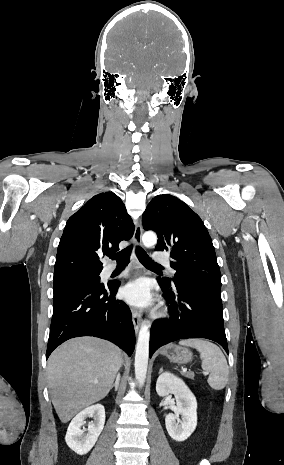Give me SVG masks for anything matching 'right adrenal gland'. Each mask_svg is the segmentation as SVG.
Returning <instances> with one entry per match:
<instances>
[{
    "label": "right adrenal gland",
    "instance_id": "obj_1",
    "mask_svg": "<svg viewBox=\"0 0 284 465\" xmlns=\"http://www.w3.org/2000/svg\"><path fill=\"white\" fill-rule=\"evenodd\" d=\"M120 381H121V375H120V373H118V375L116 377V381H115L114 385H112V387H110V389H115V391H118Z\"/></svg>",
    "mask_w": 284,
    "mask_h": 465
}]
</instances>
